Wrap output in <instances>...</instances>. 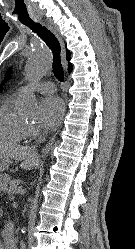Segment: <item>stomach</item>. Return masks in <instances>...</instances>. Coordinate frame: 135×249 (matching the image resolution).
Returning a JSON list of instances; mask_svg holds the SVG:
<instances>
[{"label": "stomach", "instance_id": "0dacf381", "mask_svg": "<svg viewBox=\"0 0 135 249\" xmlns=\"http://www.w3.org/2000/svg\"><path fill=\"white\" fill-rule=\"evenodd\" d=\"M10 160L8 157L0 155V173H3L9 167ZM5 176L3 174L0 175V181L3 180ZM9 181V180H8Z\"/></svg>", "mask_w": 135, "mask_h": 249}]
</instances>
